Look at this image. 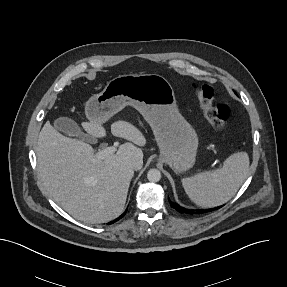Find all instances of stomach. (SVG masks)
Instances as JSON below:
<instances>
[{
  "instance_id": "obj_1",
  "label": "stomach",
  "mask_w": 287,
  "mask_h": 287,
  "mask_svg": "<svg viewBox=\"0 0 287 287\" xmlns=\"http://www.w3.org/2000/svg\"><path fill=\"white\" fill-rule=\"evenodd\" d=\"M127 105L138 110L151 126L162 162L176 173L193 167L198 137L180 114L168 80L158 74L120 75L90 98L85 112L90 121L105 122Z\"/></svg>"
}]
</instances>
